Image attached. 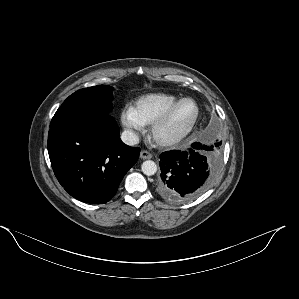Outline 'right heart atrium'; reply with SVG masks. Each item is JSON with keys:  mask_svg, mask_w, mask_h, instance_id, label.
I'll return each mask as SVG.
<instances>
[{"mask_svg": "<svg viewBox=\"0 0 299 299\" xmlns=\"http://www.w3.org/2000/svg\"><path fill=\"white\" fill-rule=\"evenodd\" d=\"M120 122L132 139L136 138L138 134L144 130L145 126L136 116L132 107L122 109L120 113Z\"/></svg>", "mask_w": 299, "mask_h": 299, "instance_id": "1", "label": "right heart atrium"}]
</instances>
